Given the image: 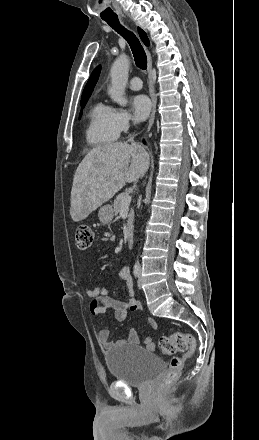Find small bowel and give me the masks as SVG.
Here are the masks:
<instances>
[{
	"label": "small bowel",
	"mask_w": 259,
	"mask_h": 440,
	"mask_svg": "<svg viewBox=\"0 0 259 440\" xmlns=\"http://www.w3.org/2000/svg\"><path fill=\"white\" fill-rule=\"evenodd\" d=\"M102 241L113 242L115 241V236H109L102 238ZM121 280L125 283L128 293V300L121 301L114 299L109 296V290L102 287L87 288L86 295L92 299L90 303L89 311L92 316H99L107 312V310H113L114 320L117 322L124 321L129 312H139L142 311L141 303L135 297V291L133 286V280L130 270L127 266H124L119 273ZM98 298H101L98 300ZM146 322L152 328H157V323L151 318H147ZM98 338L101 344L106 348L110 349L116 345H136L139 343V335L137 331L133 328L129 329L125 338L113 342L111 340V332L108 328H102L98 332ZM146 347L150 350L155 348L154 343L149 337L145 339Z\"/></svg>",
	"instance_id": "1"
}]
</instances>
